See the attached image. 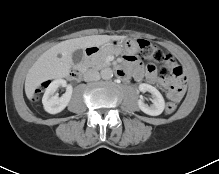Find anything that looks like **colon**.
<instances>
[{"label":"colon","instance_id":"1","mask_svg":"<svg viewBox=\"0 0 219 174\" xmlns=\"http://www.w3.org/2000/svg\"><path fill=\"white\" fill-rule=\"evenodd\" d=\"M138 45H139V57L143 60H148L150 62L154 63H162L165 61L166 56L163 53L162 50H160L158 47H156L154 44L151 42L140 39L138 40ZM172 75L175 77H181L182 72L181 70H175L173 72L170 71ZM169 74V69L167 67H161L160 68V75L161 76H167ZM48 85V82L43 83L39 89L36 91V97L38 94ZM177 108L176 103L174 102H168L165 107V112L167 114H172L175 112Z\"/></svg>","mask_w":219,"mask_h":174}]
</instances>
